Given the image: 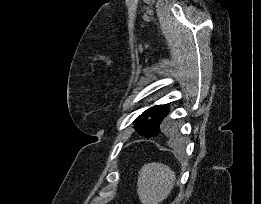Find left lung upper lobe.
I'll return each instance as SVG.
<instances>
[{
  "label": "left lung upper lobe",
  "mask_w": 261,
  "mask_h": 204,
  "mask_svg": "<svg viewBox=\"0 0 261 204\" xmlns=\"http://www.w3.org/2000/svg\"><path fill=\"white\" fill-rule=\"evenodd\" d=\"M168 114L166 105L154 106L140 115L135 121V129L139 135L145 137H154L166 124L164 120Z\"/></svg>",
  "instance_id": "5c2ea615"
}]
</instances>
